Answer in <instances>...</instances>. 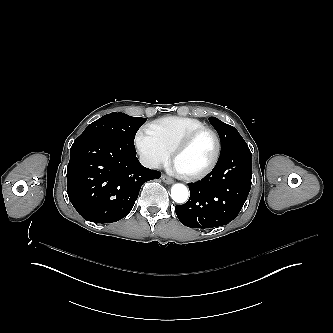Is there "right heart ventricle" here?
I'll use <instances>...</instances> for the list:
<instances>
[{
  "label": "right heart ventricle",
  "instance_id": "obj_1",
  "mask_svg": "<svg viewBox=\"0 0 333 333\" xmlns=\"http://www.w3.org/2000/svg\"><path fill=\"white\" fill-rule=\"evenodd\" d=\"M206 127L196 119L180 116H169L147 123L139 135L144 140L162 146L170 152L173 146L187 133L194 129Z\"/></svg>",
  "mask_w": 333,
  "mask_h": 333
}]
</instances>
